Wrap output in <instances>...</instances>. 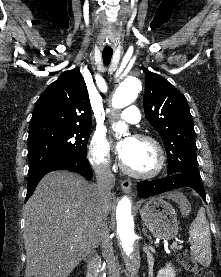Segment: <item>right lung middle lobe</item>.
<instances>
[{
    "instance_id": "right-lung-middle-lobe-1",
    "label": "right lung middle lobe",
    "mask_w": 221,
    "mask_h": 277,
    "mask_svg": "<svg viewBox=\"0 0 221 277\" xmlns=\"http://www.w3.org/2000/svg\"><path fill=\"white\" fill-rule=\"evenodd\" d=\"M91 125L29 126V174L40 167L75 156H86Z\"/></svg>"
}]
</instances>
